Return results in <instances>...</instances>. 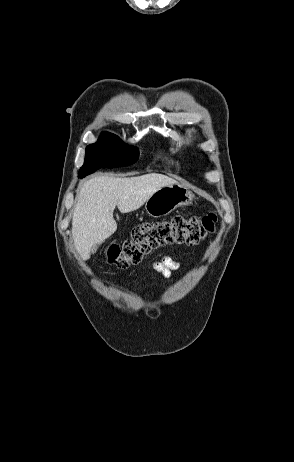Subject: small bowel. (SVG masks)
Here are the masks:
<instances>
[{
	"label": "small bowel",
	"mask_w": 294,
	"mask_h": 462,
	"mask_svg": "<svg viewBox=\"0 0 294 462\" xmlns=\"http://www.w3.org/2000/svg\"><path fill=\"white\" fill-rule=\"evenodd\" d=\"M149 267L168 279L174 271L180 268V263L175 257L163 256L152 262Z\"/></svg>",
	"instance_id": "obj_1"
}]
</instances>
